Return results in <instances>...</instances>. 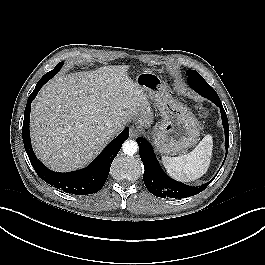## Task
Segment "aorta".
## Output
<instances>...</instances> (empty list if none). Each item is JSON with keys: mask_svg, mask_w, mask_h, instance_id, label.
Wrapping results in <instances>:
<instances>
[{"mask_svg": "<svg viewBox=\"0 0 265 265\" xmlns=\"http://www.w3.org/2000/svg\"><path fill=\"white\" fill-rule=\"evenodd\" d=\"M122 150L124 154L132 156L138 150V144L134 140H127L123 143Z\"/></svg>", "mask_w": 265, "mask_h": 265, "instance_id": "762f6f07", "label": "aorta"}]
</instances>
